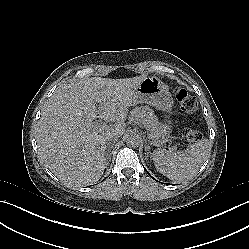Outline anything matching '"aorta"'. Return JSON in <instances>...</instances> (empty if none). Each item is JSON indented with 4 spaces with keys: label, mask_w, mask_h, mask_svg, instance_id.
<instances>
[{
    "label": "aorta",
    "mask_w": 249,
    "mask_h": 249,
    "mask_svg": "<svg viewBox=\"0 0 249 249\" xmlns=\"http://www.w3.org/2000/svg\"><path fill=\"white\" fill-rule=\"evenodd\" d=\"M140 143V138L138 135H129L126 137V144L129 147H137Z\"/></svg>",
    "instance_id": "762f6f07"
}]
</instances>
